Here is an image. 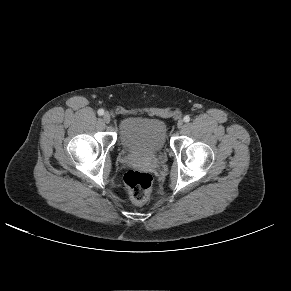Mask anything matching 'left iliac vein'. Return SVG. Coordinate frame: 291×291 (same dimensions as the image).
<instances>
[{
    "label": "left iliac vein",
    "instance_id": "4c4485c4",
    "mask_svg": "<svg viewBox=\"0 0 291 291\" xmlns=\"http://www.w3.org/2000/svg\"><path fill=\"white\" fill-rule=\"evenodd\" d=\"M183 124H184L183 120L180 119V120L177 122V127H178L179 129H181V128L183 127Z\"/></svg>",
    "mask_w": 291,
    "mask_h": 291
}]
</instances>
